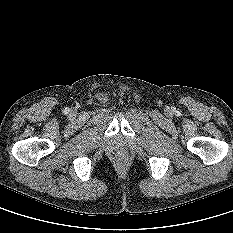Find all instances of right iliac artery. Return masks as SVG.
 Returning a JSON list of instances; mask_svg holds the SVG:
<instances>
[{
	"mask_svg": "<svg viewBox=\"0 0 233 233\" xmlns=\"http://www.w3.org/2000/svg\"><path fill=\"white\" fill-rule=\"evenodd\" d=\"M64 112H65V113H68V112H69V109H68V108H65Z\"/></svg>",
	"mask_w": 233,
	"mask_h": 233,
	"instance_id": "obj_1",
	"label": "right iliac artery"
}]
</instances>
